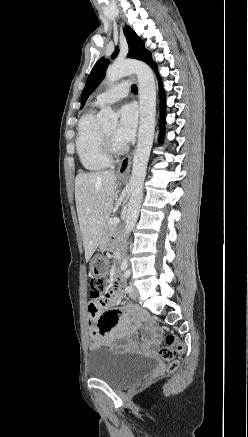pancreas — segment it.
Segmentation results:
<instances>
[{"mask_svg":"<svg viewBox=\"0 0 248 437\" xmlns=\"http://www.w3.org/2000/svg\"><path fill=\"white\" fill-rule=\"evenodd\" d=\"M109 219L106 222V230H107V232H112L115 227L112 224H109Z\"/></svg>","mask_w":248,"mask_h":437,"instance_id":"obj_1","label":"pancreas"}]
</instances>
